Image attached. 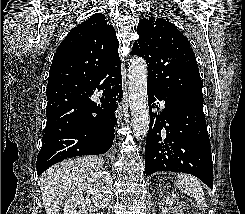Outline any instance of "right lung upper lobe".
<instances>
[{
	"mask_svg": "<svg viewBox=\"0 0 245 214\" xmlns=\"http://www.w3.org/2000/svg\"><path fill=\"white\" fill-rule=\"evenodd\" d=\"M119 41L101 13L74 27L58 46L50 67L47 96L64 94L80 101L93 93L96 83L121 73Z\"/></svg>",
	"mask_w": 245,
	"mask_h": 214,
	"instance_id": "right-lung-upper-lobe-1",
	"label": "right lung upper lobe"
}]
</instances>
